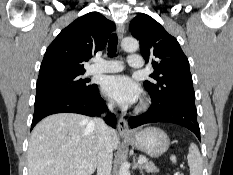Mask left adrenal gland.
Here are the masks:
<instances>
[{
	"label": "left adrenal gland",
	"instance_id": "left-adrenal-gland-1",
	"mask_svg": "<svg viewBox=\"0 0 233 175\" xmlns=\"http://www.w3.org/2000/svg\"><path fill=\"white\" fill-rule=\"evenodd\" d=\"M137 168H138L140 174H141V175H144V174H143V168H142V166L139 165V164H137L136 162H134L133 169H137Z\"/></svg>",
	"mask_w": 233,
	"mask_h": 175
}]
</instances>
